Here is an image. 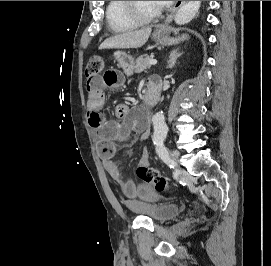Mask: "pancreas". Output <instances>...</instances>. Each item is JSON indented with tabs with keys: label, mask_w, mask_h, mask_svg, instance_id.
I'll list each match as a JSON object with an SVG mask.
<instances>
[{
	"label": "pancreas",
	"mask_w": 271,
	"mask_h": 266,
	"mask_svg": "<svg viewBox=\"0 0 271 266\" xmlns=\"http://www.w3.org/2000/svg\"><path fill=\"white\" fill-rule=\"evenodd\" d=\"M153 59L152 56H148V55H141L139 56L136 61H135V72L136 73H141L143 72L144 70L150 68V65H149V60Z\"/></svg>",
	"instance_id": "pancreas-1"
}]
</instances>
